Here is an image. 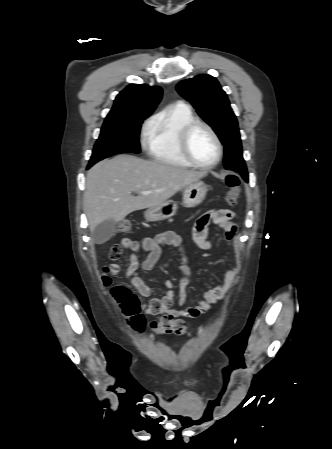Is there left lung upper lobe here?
Segmentation results:
<instances>
[{
	"mask_svg": "<svg viewBox=\"0 0 332 449\" xmlns=\"http://www.w3.org/2000/svg\"><path fill=\"white\" fill-rule=\"evenodd\" d=\"M177 91L197 109L199 116L216 132L225 147L224 166L239 172L245 181L248 173L242 156L238 122L227 94L210 75H198L177 84Z\"/></svg>",
	"mask_w": 332,
	"mask_h": 449,
	"instance_id": "obj_1",
	"label": "left lung upper lobe"
}]
</instances>
